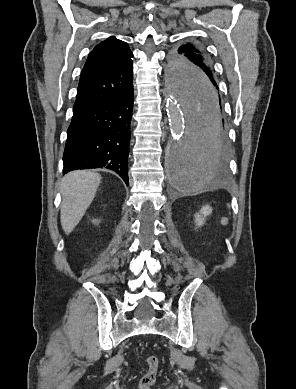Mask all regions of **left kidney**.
I'll list each match as a JSON object with an SVG mask.
<instances>
[{"instance_id":"5707ae66","label":"left kidney","mask_w":296,"mask_h":389,"mask_svg":"<svg viewBox=\"0 0 296 389\" xmlns=\"http://www.w3.org/2000/svg\"><path fill=\"white\" fill-rule=\"evenodd\" d=\"M212 213V208L210 206H204L202 207V209L200 210V214H197L195 216V223L197 226H202L204 224V218H206V216L210 215Z\"/></svg>"}]
</instances>
